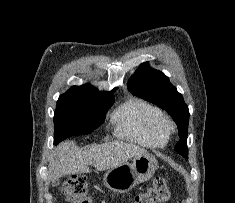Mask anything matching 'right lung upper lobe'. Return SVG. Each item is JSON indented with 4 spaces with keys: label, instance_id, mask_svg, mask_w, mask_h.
Returning <instances> with one entry per match:
<instances>
[{
    "label": "right lung upper lobe",
    "instance_id": "obj_1",
    "mask_svg": "<svg viewBox=\"0 0 235 203\" xmlns=\"http://www.w3.org/2000/svg\"><path fill=\"white\" fill-rule=\"evenodd\" d=\"M114 91V90H113ZM67 92H90V93H97V94H110L109 92H100L93 86L86 84L83 86H73Z\"/></svg>",
    "mask_w": 235,
    "mask_h": 203
}]
</instances>
